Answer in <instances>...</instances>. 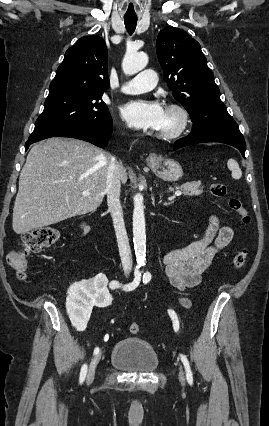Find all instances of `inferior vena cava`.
I'll use <instances>...</instances> for the list:
<instances>
[{"mask_svg": "<svg viewBox=\"0 0 269 426\" xmlns=\"http://www.w3.org/2000/svg\"><path fill=\"white\" fill-rule=\"evenodd\" d=\"M121 170L122 164L117 162L114 157H111L106 180V194L123 269L125 273H129L132 269V256L120 204Z\"/></svg>", "mask_w": 269, "mask_h": 426, "instance_id": "obj_1", "label": "inferior vena cava"}]
</instances>
